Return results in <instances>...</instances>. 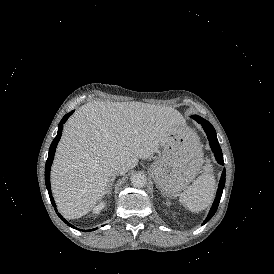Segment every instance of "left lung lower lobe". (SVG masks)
<instances>
[{"mask_svg": "<svg viewBox=\"0 0 274 274\" xmlns=\"http://www.w3.org/2000/svg\"><path fill=\"white\" fill-rule=\"evenodd\" d=\"M191 117L202 125L204 131L207 134L211 149L214 152L217 162L221 165H224V161H223V157H222V150L218 143V140L216 137V131H215L214 127L207 120L203 119L200 116L195 115V116H191ZM224 185H225V169L223 170L222 175H221V179L219 182V186H218V190H217V194H216V198L214 200L213 206L211 207L209 215L206 218V220L203 222V224L208 222L211 219V217L215 214V212L218 208L219 202H220V198L222 196Z\"/></svg>", "mask_w": 274, "mask_h": 274, "instance_id": "1", "label": "left lung lower lobe"}]
</instances>
